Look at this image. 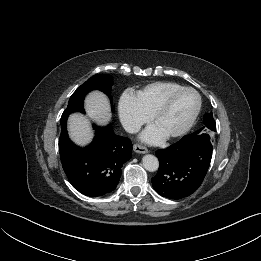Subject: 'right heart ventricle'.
Listing matches in <instances>:
<instances>
[{"label": "right heart ventricle", "instance_id": "1", "mask_svg": "<svg viewBox=\"0 0 261 261\" xmlns=\"http://www.w3.org/2000/svg\"><path fill=\"white\" fill-rule=\"evenodd\" d=\"M183 86L171 81H157L144 86L135 93L136 101L141 110L151 116L162 100L172 91Z\"/></svg>", "mask_w": 261, "mask_h": 261}]
</instances>
